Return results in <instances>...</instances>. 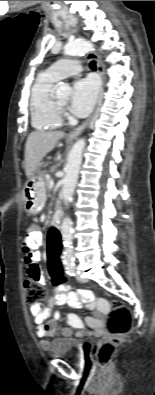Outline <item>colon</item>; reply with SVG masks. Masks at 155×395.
I'll use <instances>...</instances> for the list:
<instances>
[{
    "instance_id": "5ec220e1",
    "label": "colon",
    "mask_w": 155,
    "mask_h": 395,
    "mask_svg": "<svg viewBox=\"0 0 155 395\" xmlns=\"http://www.w3.org/2000/svg\"><path fill=\"white\" fill-rule=\"evenodd\" d=\"M61 245H66V238H62L60 228H49V240L46 245L48 265L46 271L53 279V288H63L67 285V273H63L62 261L59 255ZM25 300L30 305L40 303L47 295L45 287L35 278L29 277L24 281ZM132 322L130 309L123 303H112L111 314L108 315L107 330L109 337L97 345L95 357L100 366H106L116 352L118 345L129 332Z\"/></svg>"
}]
</instances>
